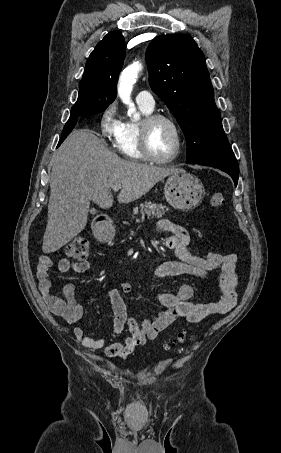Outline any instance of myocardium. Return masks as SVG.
I'll return each mask as SVG.
<instances>
[{"label":"myocardium","mask_w":281,"mask_h":453,"mask_svg":"<svg viewBox=\"0 0 281 453\" xmlns=\"http://www.w3.org/2000/svg\"><path fill=\"white\" fill-rule=\"evenodd\" d=\"M160 122L166 123L172 129L175 136L173 151L171 155L166 158H159L158 156H156L151 143L152 131ZM181 142L182 134L180 128L170 117L161 114H153L143 119L141 123L140 144L143 155L148 159L161 164L172 162L179 154Z\"/></svg>","instance_id":"f54148a6"}]
</instances>
